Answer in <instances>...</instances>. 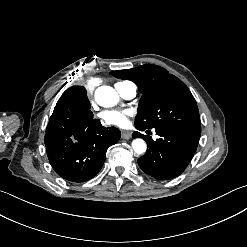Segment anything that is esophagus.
Listing matches in <instances>:
<instances>
[{
	"label": "esophagus",
	"mask_w": 247,
	"mask_h": 247,
	"mask_svg": "<svg viewBox=\"0 0 247 247\" xmlns=\"http://www.w3.org/2000/svg\"><path fill=\"white\" fill-rule=\"evenodd\" d=\"M121 136L123 139H130L132 136V133L130 131H123Z\"/></svg>",
	"instance_id": "esophagus-1"
}]
</instances>
